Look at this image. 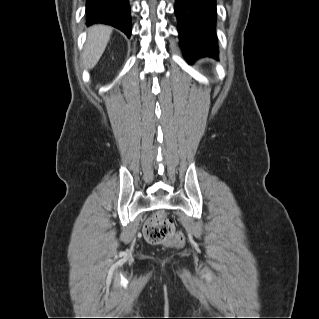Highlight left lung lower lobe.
<instances>
[{"instance_id": "1", "label": "left lung lower lobe", "mask_w": 319, "mask_h": 319, "mask_svg": "<svg viewBox=\"0 0 319 319\" xmlns=\"http://www.w3.org/2000/svg\"><path fill=\"white\" fill-rule=\"evenodd\" d=\"M174 10L185 58L189 62L201 57L217 59L216 0H175Z\"/></svg>"}]
</instances>
